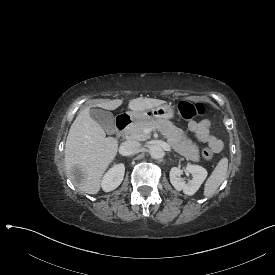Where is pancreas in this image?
<instances>
[{
  "mask_svg": "<svg viewBox=\"0 0 275 275\" xmlns=\"http://www.w3.org/2000/svg\"><path fill=\"white\" fill-rule=\"evenodd\" d=\"M157 129L167 139L169 145L180 155L194 161H200V150L193 144L182 129L176 127L172 122L165 119H157L150 122H135L125 130V133L132 139L144 141L149 135L144 134V129Z\"/></svg>",
  "mask_w": 275,
  "mask_h": 275,
  "instance_id": "cf45deb5",
  "label": "pancreas"
}]
</instances>
